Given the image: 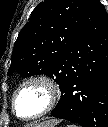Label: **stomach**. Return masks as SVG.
<instances>
[{"label":"stomach","mask_w":108,"mask_h":127,"mask_svg":"<svg viewBox=\"0 0 108 127\" xmlns=\"http://www.w3.org/2000/svg\"><path fill=\"white\" fill-rule=\"evenodd\" d=\"M34 127H57V123H55V124H48V125H44V126L43 125H37V126H34Z\"/></svg>","instance_id":"0dacf381"}]
</instances>
